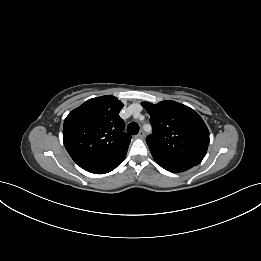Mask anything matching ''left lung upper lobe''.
<instances>
[{
  "label": "left lung upper lobe",
  "instance_id": "left-lung-upper-lobe-1",
  "mask_svg": "<svg viewBox=\"0 0 261 261\" xmlns=\"http://www.w3.org/2000/svg\"><path fill=\"white\" fill-rule=\"evenodd\" d=\"M150 115L153 134L146 142L150 151L198 165L209 145V131L202 118L190 107L166 100L142 102Z\"/></svg>",
  "mask_w": 261,
  "mask_h": 261
}]
</instances>
